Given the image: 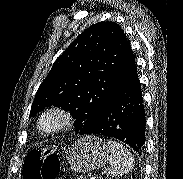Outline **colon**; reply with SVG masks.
Instances as JSON below:
<instances>
[{
  "instance_id": "5ec220e1",
  "label": "colon",
  "mask_w": 183,
  "mask_h": 179,
  "mask_svg": "<svg viewBox=\"0 0 183 179\" xmlns=\"http://www.w3.org/2000/svg\"><path fill=\"white\" fill-rule=\"evenodd\" d=\"M59 166L53 150H32L25 158L22 176L23 179H55Z\"/></svg>"
}]
</instances>
